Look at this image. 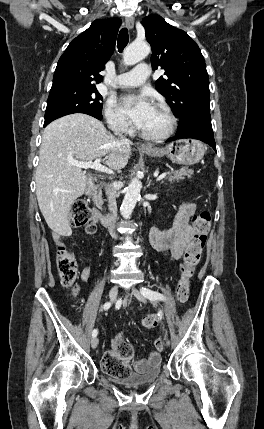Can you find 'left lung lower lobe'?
<instances>
[{"label": "left lung lower lobe", "mask_w": 264, "mask_h": 429, "mask_svg": "<svg viewBox=\"0 0 264 429\" xmlns=\"http://www.w3.org/2000/svg\"><path fill=\"white\" fill-rule=\"evenodd\" d=\"M183 138H194L208 143L215 151L216 144L214 140L211 116L210 114H200L195 117L194 121L183 129H178V134L175 137L169 138L167 141H173Z\"/></svg>", "instance_id": "1"}]
</instances>
